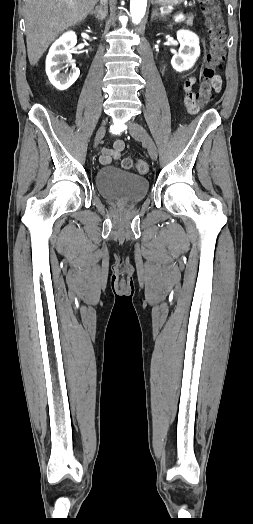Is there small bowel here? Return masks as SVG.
<instances>
[{
  "instance_id": "1",
  "label": "small bowel",
  "mask_w": 253,
  "mask_h": 524,
  "mask_svg": "<svg viewBox=\"0 0 253 524\" xmlns=\"http://www.w3.org/2000/svg\"><path fill=\"white\" fill-rule=\"evenodd\" d=\"M194 83V79H184L182 81V96L183 101L185 104V108L188 111V114L192 118L199 117L200 113L203 110V107L200 103H198L197 98V90L192 87V84ZM212 85L215 88V90L219 91L222 86V80L220 76H216L212 80ZM124 149V142L122 140H116L113 142V144L110 147H105L102 149L101 155H100V162L102 164H109L112 162V160L118 159L120 157V154L122 150Z\"/></svg>"
}]
</instances>
